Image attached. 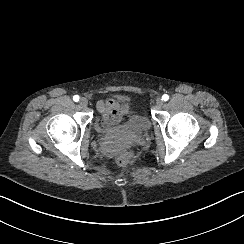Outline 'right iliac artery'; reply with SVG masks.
I'll list each match as a JSON object with an SVG mask.
<instances>
[{"mask_svg":"<svg viewBox=\"0 0 244 244\" xmlns=\"http://www.w3.org/2000/svg\"><path fill=\"white\" fill-rule=\"evenodd\" d=\"M73 100H74L75 102H78V101H79V96H78V95H75V96L73 97Z\"/></svg>","mask_w":244,"mask_h":244,"instance_id":"obj_1","label":"right iliac artery"}]
</instances>
